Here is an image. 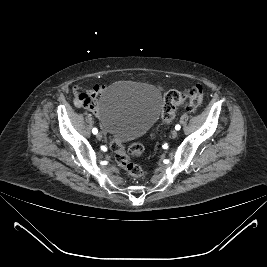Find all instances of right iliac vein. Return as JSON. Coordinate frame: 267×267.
<instances>
[{
  "instance_id": "1",
  "label": "right iliac vein",
  "mask_w": 267,
  "mask_h": 267,
  "mask_svg": "<svg viewBox=\"0 0 267 267\" xmlns=\"http://www.w3.org/2000/svg\"><path fill=\"white\" fill-rule=\"evenodd\" d=\"M96 138H97L98 140H101V139H102V133H101V132H98V133L96 134Z\"/></svg>"
}]
</instances>
